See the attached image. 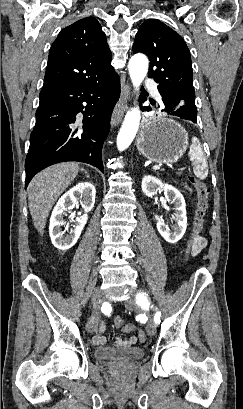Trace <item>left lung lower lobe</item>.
<instances>
[{"label":"left lung lower lobe","instance_id":"0a47b994","mask_svg":"<svg viewBox=\"0 0 243 409\" xmlns=\"http://www.w3.org/2000/svg\"><path fill=\"white\" fill-rule=\"evenodd\" d=\"M159 93L162 96V100L159 103L151 101V105L141 108L142 111H151L156 109L161 112H167L171 115L197 123V108L195 106V102L170 92L159 90ZM144 101L145 100H143V102Z\"/></svg>","mask_w":243,"mask_h":409}]
</instances>
